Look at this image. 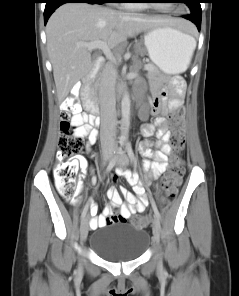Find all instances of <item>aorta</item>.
Returning <instances> with one entry per match:
<instances>
[{
    "label": "aorta",
    "mask_w": 239,
    "mask_h": 296,
    "mask_svg": "<svg viewBox=\"0 0 239 296\" xmlns=\"http://www.w3.org/2000/svg\"><path fill=\"white\" fill-rule=\"evenodd\" d=\"M121 111H122V131L123 135L126 137L128 134L129 124H130V98L128 92H125L121 101Z\"/></svg>",
    "instance_id": "obj_1"
}]
</instances>
